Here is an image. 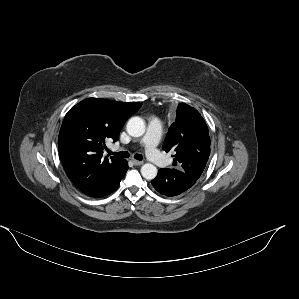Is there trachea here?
<instances>
[{
    "instance_id": "obj_1",
    "label": "trachea",
    "mask_w": 299,
    "mask_h": 299,
    "mask_svg": "<svg viewBox=\"0 0 299 299\" xmlns=\"http://www.w3.org/2000/svg\"><path fill=\"white\" fill-rule=\"evenodd\" d=\"M111 154H113L115 156H118V157H121V158H128L130 156V154L127 151H121V152H118V153L111 152ZM134 158L140 161V160L143 159V156L141 154H135Z\"/></svg>"
}]
</instances>
